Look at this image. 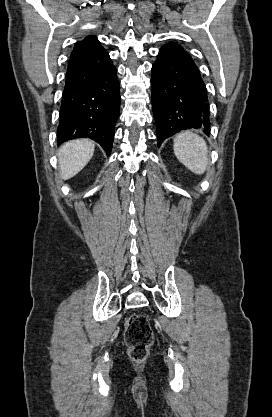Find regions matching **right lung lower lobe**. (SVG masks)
<instances>
[{
	"instance_id": "98d812e1",
	"label": "right lung lower lobe",
	"mask_w": 272,
	"mask_h": 417,
	"mask_svg": "<svg viewBox=\"0 0 272 417\" xmlns=\"http://www.w3.org/2000/svg\"><path fill=\"white\" fill-rule=\"evenodd\" d=\"M109 54L98 43L71 56L57 129L59 144L90 138L111 154L114 127L120 112V88Z\"/></svg>"
}]
</instances>
